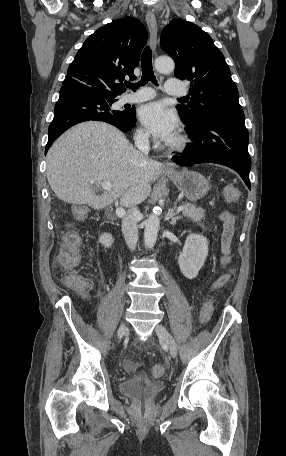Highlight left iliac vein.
<instances>
[{
	"instance_id": "left-iliac-vein-1",
	"label": "left iliac vein",
	"mask_w": 286,
	"mask_h": 456,
	"mask_svg": "<svg viewBox=\"0 0 286 456\" xmlns=\"http://www.w3.org/2000/svg\"><path fill=\"white\" fill-rule=\"evenodd\" d=\"M155 331L158 337L167 344L170 355L172 357H176L178 350L177 344L173 336L169 333V331L161 324H158L156 326Z\"/></svg>"
}]
</instances>
